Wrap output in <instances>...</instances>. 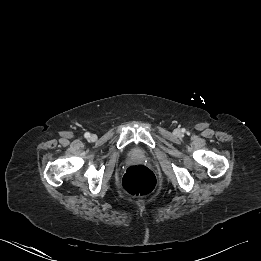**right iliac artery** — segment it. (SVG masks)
<instances>
[{"label": "right iliac artery", "mask_w": 261, "mask_h": 261, "mask_svg": "<svg viewBox=\"0 0 261 261\" xmlns=\"http://www.w3.org/2000/svg\"><path fill=\"white\" fill-rule=\"evenodd\" d=\"M84 137H85V138H89V137H90V133H89V132H86V133L84 134Z\"/></svg>", "instance_id": "1"}]
</instances>
